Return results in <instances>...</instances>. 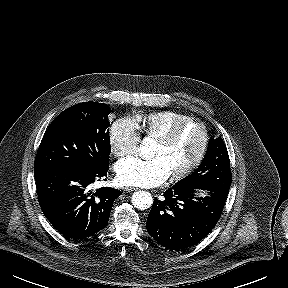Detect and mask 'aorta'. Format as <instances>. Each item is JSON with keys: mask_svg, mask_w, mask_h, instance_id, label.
I'll return each instance as SVG.
<instances>
[{"mask_svg": "<svg viewBox=\"0 0 288 288\" xmlns=\"http://www.w3.org/2000/svg\"><path fill=\"white\" fill-rule=\"evenodd\" d=\"M139 155L143 159H149L153 156V143L149 138L143 139ZM132 204L139 210H145L152 206L153 198L149 192L146 191H137L132 195L131 198Z\"/></svg>", "mask_w": 288, "mask_h": 288, "instance_id": "obj_1", "label": "aorta"}]
</instances>
